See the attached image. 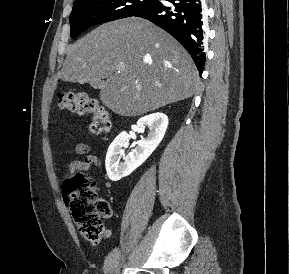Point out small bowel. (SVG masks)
I'll return each instance as SVG.
<instances>
[{
	"instance_id": "1",
	"label": "small bowel",
	"mask_w": 289,
	"mask_h": 274,
	"mask_svg": "<svg viewBox=\"0 0 289 274\" xmlns=\"http://www.w3.org/2000/svg\"><path fill=\"white\" fill-rule=\"evenodd\" d=\"M74 151L79 155H85V157L81 160L71 161L68 164L65 176L72 175V174H75L77 172L87 171L92 166H95V167L101 166L100 159L95 155L89 154L91 151V147L88 144H85V143L77 144L74 147ZM64 177H63V179H64Z\"/></svg>"
}]
</instances>
